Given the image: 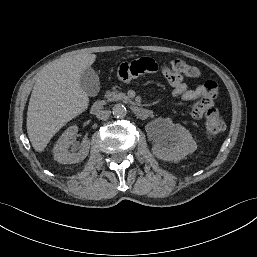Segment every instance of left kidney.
I'll return each mask as SVG.
<instances>
[{"mask_svg":"<svg viewBox=\"0 0 257 257\" xmlns=\"http://www.w3.org/2000/svg\"><path fill=\"white\" fill-rule=\"evenodd\" d=\"M196 149L197 144L185 127L167 122L158 134L152 152L164 161H177Z\"/></svg>","mask_w":257,"mask_h":257,"instance_id":"obj_1","label":"left kidney"}]
</instances>
